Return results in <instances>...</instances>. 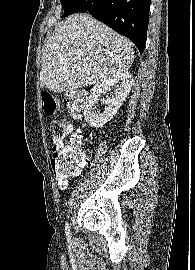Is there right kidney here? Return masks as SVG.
Here are the masks:
<instances>
[{
	"instance_id": "ca27d5eb",
	"label": "right kidney",
	"mask_w": 195,
	"mask_h": 270,
	"mask_svg": "<svg viewBox=\"0 0 195 270\" xmlns=\"http://www.w3.org/2000/svg\"><path fill=\"white\" fill-rule=\"evenodd\" d=\"M132 84L133 76L129 72H124L95 84L84 109V116L88 125L98 128L110 121L130 93ZM111 87H115L114 96L102 101L105 104L103 111L96 110L101 95L107 94Z\"/></svg>"
}]
</instances>
